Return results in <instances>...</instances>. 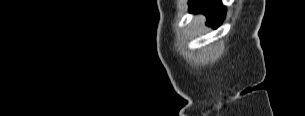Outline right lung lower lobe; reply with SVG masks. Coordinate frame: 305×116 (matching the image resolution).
Returning a JSON list of instances; mask_svg holds the SVG:
<instances>
[{
    "instance_id": "1",
    "label": "right lung lower lobe",
    "mask_w": 305,
    "mask_h": 116,
    "mask_svg": "<svg viewBox=\"0 0 305 116\" xmlns=\"http://www.w3.org/2000/svg\"><path fill=\"white\" fill-rule=\"evenodd\" d=\"M190 10L200 12L206 15L207 24L214 28L219 26L225 17V7L220 0H190Z\"/></svg>"
}]
</instances>
